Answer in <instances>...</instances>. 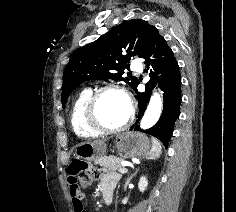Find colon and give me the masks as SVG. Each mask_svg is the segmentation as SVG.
I'll list each match as a JSON object with an SVG mask.
<instances>
[{
  "label": "colon",
  "mask_w": 236,
  "mask_h": 212,
  "mask_svg": "<svg viewBox=\"0 0 236 212\" xmlns=\"http://www.w3.org/2000/svg\"><path fill=\"white\" fill-rule=\"evenodd\" d=\"M70 175H78L81 185L89 186L95 179L97 172L87 163L74 161L70 166Z\"/></svg>",
  "instance_id": "obj_1"
}]
</instances>
